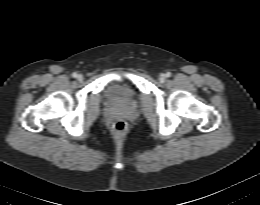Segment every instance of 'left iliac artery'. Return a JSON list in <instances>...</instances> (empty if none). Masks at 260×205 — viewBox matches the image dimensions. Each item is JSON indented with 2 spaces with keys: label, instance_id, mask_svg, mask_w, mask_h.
<instances>
[{
  "label": "left iliac artery",
  "instance_id": "44dca946",
  "mask_svg": "<svg viewBox=\"0 0 260 205\" xmlns=\"http://www.w3.org/2000/svg\"><path fill=\"white\" fill-rule=\"evenodd\" d=\"M166 77H171V73H170V72H167V73H166Z\"/></svg>",
  "mask_w": 260,
  "mask_h": 205
}]
</instances>
